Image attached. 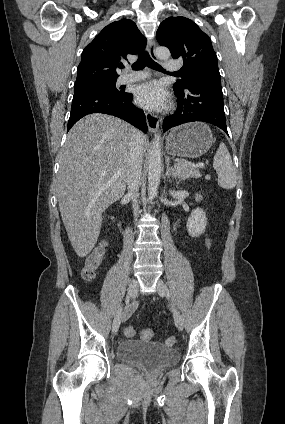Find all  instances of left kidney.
Segmentation results:
<instances>
[{"label": "left kidney", "mask_w": 285, "mask_h": 424, "mask_svg": "<svg viewBox=\"0 0 285 424\" xmlns=\"http://www.w3.org/2000/svg\"><path fill=\"white\" fill-rule=\"evenodd\" d=\"M195 199L196 201H200L202 200V196L200 194H196ZM206 225L207 218L205 212L200 208H196L187 220V230L189 235L191 237H199L204 233Z\"/></svg>", "instance_id": "obj_1"}]
</instances>
